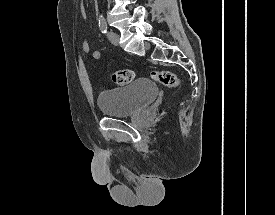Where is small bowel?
<instances>
[{
  "label": "small bowel",
  "mask_w": 275,
  "mask_h": 215,
  "mask_svg": "<svg viewBox=\"0 0 275 215\" xmlns=\"http://www.w3.org/2000/svg\"><path fill=\"white\" fill-rule=\"evenodd\" d=\"M83 17H85L84 12H83ZM81 49L84 53H87V54H89L91 52V46L87 39H83V41L81 43ZM91 56L93 59L97 60L101 57V52L98 50H95L92 52Z\"/></svg>",
  "instance_id": "small-bowel-1"
}]
</instances>
